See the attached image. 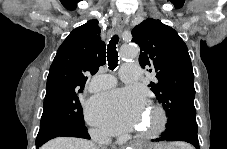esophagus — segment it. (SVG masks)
<instances>
[{"instance_id": "obj_1", "label": "esophagus", "mask_w": 227, "mask_h": 149, "mask_svg": "<svg viewBox=\"0 0 227 149\" xmlns=\"http://www.w3.org/2000/svg\"><path fill=\"white\" fill-rule=\"evenodd\" d=\"M125 23H126V19L125 18L120 17V18L117 19L116 30L119 33H121L123 31Z\"/></svg>"}]
</instances>
